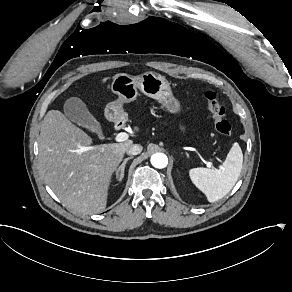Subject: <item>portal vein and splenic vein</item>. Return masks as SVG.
I'll use <instances>...</instances> for the list:
<instances>
[{
	"label": "portal vein and splenic vein",
	"instance_id": "portal-vein-and-splenic-vein-1",
	"mask_svg": "<svg viewBox=\"0 0 292 292\" xmlns=\"http://www.w3.org/2000/svg\"><path fill=\"white\" fill-rule=\"evenodd\" d=\"M127 139V134L126 133H118L115 137L116 142H123ZM89 148H94V147H89ZM207 166L210 168L211 165L208 163Z\"/></svg>",
	"mask_w": 292,
	"mask_h": 292
}]
</instances>
